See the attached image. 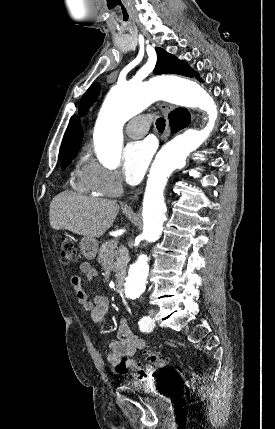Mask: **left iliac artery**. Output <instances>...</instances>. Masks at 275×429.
I'll return each instance as SVG.
<instances>
[{"label":"left iliac artery","mask_w":275,"mask_h":429,"mask_svg":"<svg viewBox=\"0 0 275 429\" xmlns=\"http://www.w3.org/2000/svg\"><path fill=\"white\" fill-rule=\"evenodd\" d=\"M138 324L141 331L148 332L152 330L154 321L149 316H145L139 321Z\"/></svg>","instance_id":"left-iliac-artery-1"}]
</instances>
